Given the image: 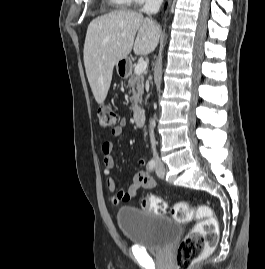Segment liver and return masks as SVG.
<instances>
[{
	"label": "liver",
	"mask_w": 265,
	"mask_h": 269,
	"mask_svg": "<svg viewBox=\"0 0 265 269\" xmlns=\"http://www.w3.org/2000/svg\"><path fill=\"white\" fill-rule=\"evenodd\" d=\"M159 38L160 27L136 11H114L89 24L83 51L84 65L98 104H102L107 96L114 65L127 58L132 48L136 55L153 52Z\"/></svg>",
	"instance_id": "1"
}]
</instances>
